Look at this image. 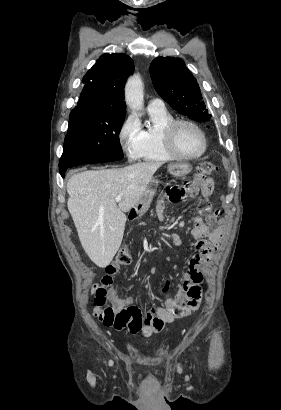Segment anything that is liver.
Wrapping results in <instances>:
<instances>
[{"instance_id": "6515ba94", "label": "liver", "mask_w": 281, "mask_h": 410, "mask_svg": "<svg viewBox=\"0 0 281 410\" xmlns=\"http://www.w3.org/2000/svg\"><path fill=\"white\" fill-rule=\"evenodd\" d=\"M161 165L150 161L119 169L89 170L68 180V210L84 251L98 267L111 263L122 243L125 212L138 203ZM117 196H122L118 205Z\"/></svg>"}]
</instances>
